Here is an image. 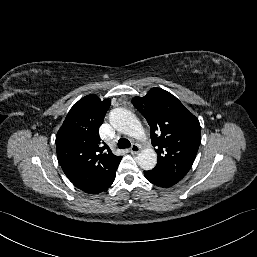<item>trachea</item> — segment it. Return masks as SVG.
Segmentation results:
<instances>
[{"mask_svg": "<svg viewBox=\"0 0 257 257\" xmlns=\"http://www.w3.org/2000/svg\"><path fill=\"white\" fill-rule=\"evenodd\" d=\"M117 145H118L119 149H126V148H129L131 146V143L126 138H120L118 140V144Z\"/></svg>", "mask_w": 257, "mask_h": 257, "instance_id": "3493384b", "label": "trachea"}]
</instances>
